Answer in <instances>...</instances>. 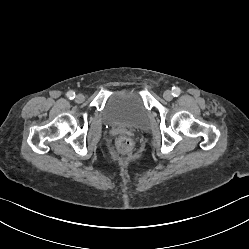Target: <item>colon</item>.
<instances>
[{
	"mask_svg": "<svg viewBox=\"0 0 249 249\" xmlns=\"http://www.w3.org/2000/svg\"><path fill=\"white\" fill-rule=\"evenodd\" d=\"M132 141L128 137H121L117 141V149L122 155H129L132 150Z\"/></svg>",
	"mask_w": 249,
	"mask_h": 249,
	"instance_id": "5ec220e1",
	"label": "colon"
}]
</instances>
